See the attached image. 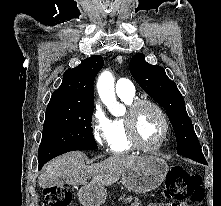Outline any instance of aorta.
Returning a JSON list of instances; mask_svg holds the SVG:
<instances>
[{
    "label": "aorta",
    "instance_id": "762f6f07",
    "mask_svg": "<svg viewBox=\"0 0 221 206\" xmlns=\"http://www.w3.org/2000/svg\"><path fill=\"white\" fill-rule=\"evenodd\" d=\"M97 91L101 101L113 115L122 113L123 107L116 100L114 77L111 72L101 73L97 81Z\"/></svg>",
    "mask_w": 221,
    "mask_h": 206
}]
</instances>
